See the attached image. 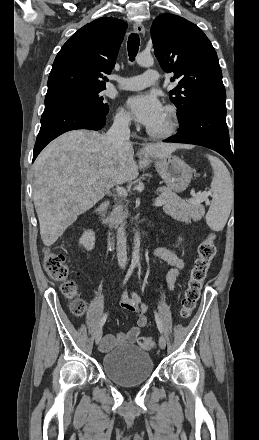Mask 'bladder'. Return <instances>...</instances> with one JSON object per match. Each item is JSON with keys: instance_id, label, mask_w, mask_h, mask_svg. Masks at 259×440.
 Instances as JSON below:
<instances>
[{"instance_id": "obj_1", "label": "bladder", "mask_w": 259, "mask_h": 440, "mask_svg": "<svg viewBox=\"0 0 259 440\" xmlns=\"http://www.w3.org/2000/svg\"><path fill=\"white\" fill-rule=\"evenodd\" d=\"M102 370L116 384L133 386L147 381L154 365L148 352L136 345H124L103 356Z\"/></svg>"}]
</instances>
